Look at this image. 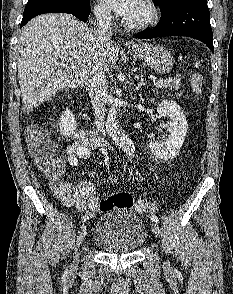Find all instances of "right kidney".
Segmentation results:
<instances>
[{"mask_svg":"<svg viewBox=\"0 0 233 294\" xmlns=\"http://www.w3.org/2000/svg\"><path fill=\"white\" fill-rule=\"evenodd\" d=\"M76 126L77 123L73 112L69 108H66V110L62 113L59 123L61 134L66 137L71 136L76 130Z\"/></svg>","mask_w":233,"mask_h":294,"instance_id":"1","label":"right kidney"}]
</instances>
